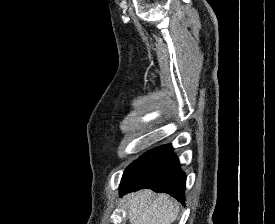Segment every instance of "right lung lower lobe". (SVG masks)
Segmentation results:
<instances>
[{"label": "right lung lower lobe", "mask_w": 275, "mask_h": 224, "mask_svg": "<svg viewBox=\"0 0 275 224\" xmlns=\"http://www.w3.org/2000/svg\"><path fill=\"white\" fill-rule=\"evenodd\" d=\"M186 175L180 169L171 145L154 148L125 170L120 193L124 194L142 188H150L156 192H165L184 203Z\"/></svg>", "instance_id": "right-lung-lower-lobe-1"}]
</instances>
